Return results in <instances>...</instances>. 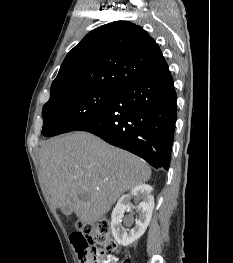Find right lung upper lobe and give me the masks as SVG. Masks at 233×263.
Here are the masks:
<instances>
[{
	"label": "right lung upper lobe",
	"mask_w": 233,
	"mask_h": 263,
	"mask_svg": "<svg viewBox=\"0 0 233 263\" xmlns=\"http://www.w3.org/2000/svg\"><path fill=\"white\" fill-rule=\"evenodd\" d=\"M167 70L158 44L145 30L116 21L91 31L67 54L51 97L88 88L118 91Z\"/></svg>",
	"instance_id": "cb5924a9"
}]
</instances>
